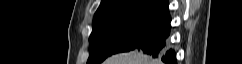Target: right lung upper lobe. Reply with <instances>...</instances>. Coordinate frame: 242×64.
Instances as JSON below:
<instances>
[{"mask_svg": "<svg viewBox=\"0 0 242 64\" xmlns=\"http://www.w3.org/2000/svg\"><path fill=\"white\" fill-rule=\"evenodd\" d=\"M168 7V0H102L93 21L121 12L150 11L167 14Z\"/></svg>", "mask_w": 242, "mask_h": 64, "instance_id": "right-lung-upper-lobe-1", "label": "right lung upper lobe"}]
</instances>
